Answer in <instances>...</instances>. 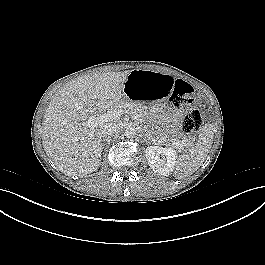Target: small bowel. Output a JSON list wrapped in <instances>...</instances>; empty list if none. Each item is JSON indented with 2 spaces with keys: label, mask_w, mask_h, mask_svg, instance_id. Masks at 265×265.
<instances>
[{
  "label": "small bowel",
  "mask_w": 265,
  "mask_h": 265,
  "mask_svg": "<svg viewBox=\"0 0 265 265\" xmlns=\"http://www.w3.org/2000/svg\"><path fill=\"white\" fill-rule=\"evenodd\" d=\"M186 83H187V82H186ZM180 113H181V110H177V111H176V114H177V115H180Z\"/></svg>",
  "instance_id": "c3829d8e"
}]
</instances>
